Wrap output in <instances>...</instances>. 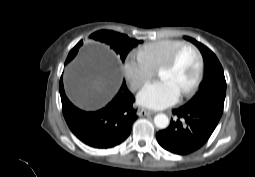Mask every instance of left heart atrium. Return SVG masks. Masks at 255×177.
<instances>
[{"mask_svg":"<svg viewBox=\"0 0 255 177\" xmlns=\"http://www.w3.org/2000/svg\"><path fill=\"white\" fill-rule=\"evenodd\" d=\"M181 93L167 79L146 83L137 95L140 105L151 109H163L176 103Z\"/></svg>","mask_w":255,"mask_h":177,"instance_id":"left-heart-atrium-1","label":"left heart atrium"}]
</instances>
